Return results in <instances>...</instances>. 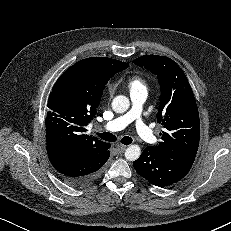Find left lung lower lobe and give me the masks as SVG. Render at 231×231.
<instances>
[{"label": "left lung lower lobe", "instance_id": "obj_1", "mask_svg": "<svg viewBox=\"0 0 231 231\" xmlns=\"http://www.w3.org/2000/svg\"><path fill=\"white\" fill-rule=\"evenodd\" d=\"M135 170L151 184L165 187L180 181L192 164L163 157L147 147L140 158L133 162Z\"/></svg>", "mask_w": 231, "mask_h": 231}]
</instances>
